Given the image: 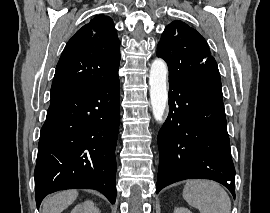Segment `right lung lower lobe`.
Wrapping results in <instances>:
<instances>
[{
  "mask_svg": "<svg viewBox=\"0 0 270 213\" xmlns=\"http://www.w3.org/2000/svg\"><path fill=\"white\" fill-rule=\"evenodd\" d=\"M119 78L51 99L34 171L36 204L55 191L96 189L114 204Z\"/></svg>",
  "mask_w": 270,
  "mask_h": 213,
  "instance_id": "obj_1",
  "label": "right lung lower lobe"
}]
</instances>
